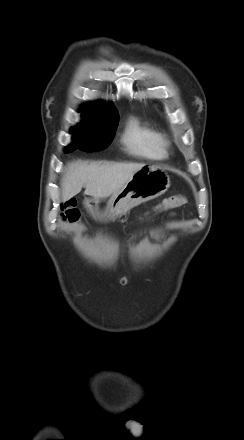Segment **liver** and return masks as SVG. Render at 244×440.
<instances>
[{"label":"liver","mask_w":244,"mask_h":440,"mask_svg":"<svg viewBox=\"0 0 244 440\" xmlns=\"http://www.w3.org/2000/svg\"><path fill=\"white\" fill-rule=\"evenodd\" d=\"M143 166L142 163L72 162L62 179V198L70 199L85 187L86 195L98 201L106 199L123 188Z\"/></svg>","instance_id":"6515ba94"}]
</instances>
